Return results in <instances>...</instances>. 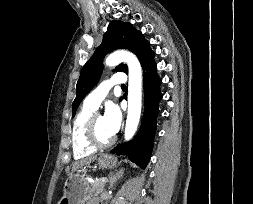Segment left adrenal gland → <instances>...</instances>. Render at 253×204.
I'll return each instance as SVG.
<instances>
[{"mask_svg":"<svg viewBox=\"0 0 253 204\" xmlns=\"http://www.w3.org/2000/svg\"><path fill=\"white\" fill-rule=\"evenodd\" d=\"M124 174V169L121 168L119 171L116 170L115 172H111L109 175H108V182H109V189L113 187V185L115 184V182L120 178L122 177Z\"/></svg>","mask_w":253,"mask_h":204,"instance_id":"obj_1","label":"left adrenal gland"}]
</instances>
